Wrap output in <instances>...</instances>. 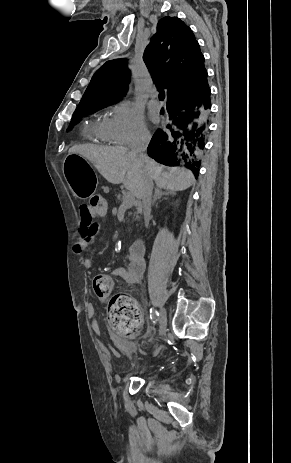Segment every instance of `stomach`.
Here are the masks:
<instances>
[{
  "mask_svg": "<svg viewBox=\"0 0 291 463\" xmlns=\"http://www.w3.org/2000/svg\"><path fill=\"white\" fill-rule=\"evenodd\" d=\"M64 177L79 199H86L96 189V178L88 161L78 154H68L63 164Z\"/></svg>",
  "mask_w": 291,
  "mask_h": 463,
  "instance_id": "stomach-1",
  "label": "stomach"
}]
</instances>
